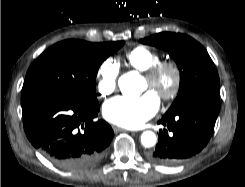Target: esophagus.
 Instances as JSON below:
<instances>
[{"instance_id": "34e87169", "label": "esophagus", "mask_w": 245, "mask_h": 187, "mask_svg": "<svg viewBox=\"0 0 245 187\" xmlns=\"http://www.w3.org/2000/svg\"><path fill=\"white\" fill-rule=\"evenodd\" d=\"M113 129H114L115 132L127 131L126 129H123V128L117 127V126H114Z\"/></svg>"}]
</instances>
